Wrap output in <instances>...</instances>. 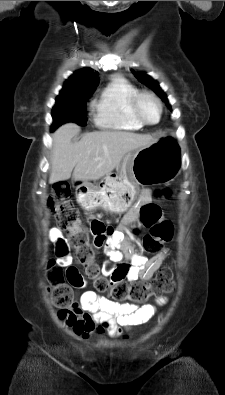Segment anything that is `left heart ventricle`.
I'll list each match as a JSON object with an SVG mask.
<instances>
[{
	"label": "left heart ventricle",
	"mask_w": 225,
	"mask_h": 395,
	"mask_svg": "<svg viewBox=\"0 0 225 395\" xmlns=\"http://www.w3.org/2000/svg\"><path fill=\"white\" fill-rule=\"evenodd\" d=\"M141 113L149 122H155L158 119V108L151 99H144L141 102Z\"/></svg>",
	"instance_id": "obj_1"
}]
</instances>
